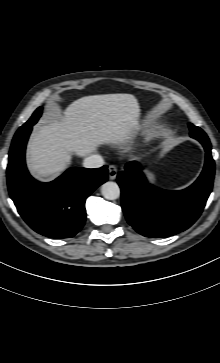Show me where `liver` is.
<instances>
[{
	"mask_svg": "<svg viewBox=\"0 0 220 363\" xmlns=\"http://www.w3.org/2000/svg\"><path fill=\"white\" fill-rule=\"evenodd\" d=\"M139 116L131 94L82 97L35 129L28 144L29 170L39 180H52L66 170L72 154L85 157L102 144L128 142L139 129Z\"/></svg>",
	"mask_w": 220,
	"mask_h": 363,
	"instance_id": "6515ba94",
	"label": "liver"
}]
</instances>
